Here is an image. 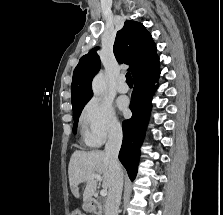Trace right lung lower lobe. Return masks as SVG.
Returning a JSON list of instances; mask_svg holds the SVG:
<instances>
[{
	"label": "right lung lower lobe",
	"mask_w": 223,
	"mask_h": 215,
	"mask_svg": "<svg viewBox=\"0 0 223 215\" xmlns=\"http://www.w3.org/2000/svg\"><path fill=\"white\" fill-rule=\"evenodd\" d=\"M159 68L146 75L134 79V91L131 97L130 109L132 117L123 121V142L119 160L126 168L133 181L137 174L140 157V146L143 142L151 109V98L155 92L159 78Z\"/></svg>",
	"instance_id": "obj_1"
}]
</instances>
